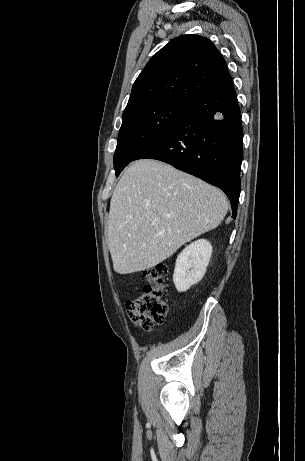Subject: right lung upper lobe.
<instances>
[{
  "instance_id": "right-lung-upper-lobe-1",
  "label": "right lung upper lobe",
  "mask_w": 305,
  "mask_h": 461,
  "mask_svg": "<svg viewBox=\"0 0 305 461\" xmlns=\"http://www.w3.org/2000/svg\"><path fill=\"white\" fill-rule=\"evenodd\" d=\"M230 80L226 62L210 40L179 36L149 60L133 84L123 116L162 102L190 105Z\"/></svg>"
}]
</instances>
